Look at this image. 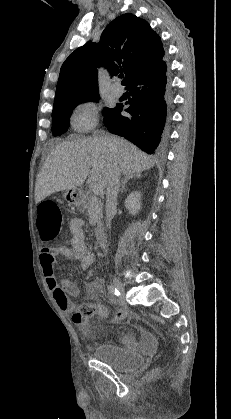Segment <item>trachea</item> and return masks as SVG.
<instances>
[{
	"label": "trachea",
	"instance_id": "trachea-1",
	"mask_svg": "<svg viewBox=\"0 0 231 419\" xmlns=\"http://www.w3.org/2000/svg\"><path fill=\"white\" fill-rule=\"evenodd\" d=\"M119 77H120V78H123L124 76H123V75H120Z\"/></svg>",
	"mask_w": 231,
	"mask_h": 419
}]
</instances>
